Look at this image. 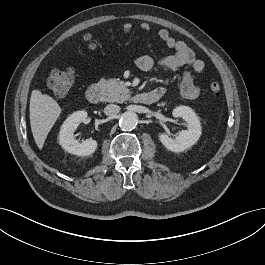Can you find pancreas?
<instances>
[{"label":"pancreas","instance_id":"obj_1","mask_svg":"<svg viewBox=\"0 0 265 265\" xmlns=\"http://www.w3.org/2000/svg\"><path fill=\"white\" fill-rule=\"evenodd\" d=\"M97 85L103 93L102 100L105 102L123 103L130 96V91L122 81L101 79Z\"/></svg>","mask_w":265,"mask_h":265}]
</instances>
